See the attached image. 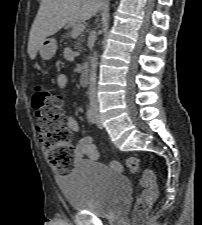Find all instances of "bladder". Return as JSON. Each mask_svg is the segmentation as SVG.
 <instances>
[{
	"instance_id": "31cf9c89",
	"label": "bladder",
	"mask_w": 202,
	"mask_h": 225,
	"mask_svg": "<svg viewBox=\"0 0 202 225\" xmlns=\"http://www.w3.org/2000/svg\"><path fill=\"white\" fill-rule=\"evenodd\" d=\"M61 190L71 210L106 217L118 212L132 184L123 173L98 161L82 159L64 177Z\"/></svg>"
}]
</instances>
